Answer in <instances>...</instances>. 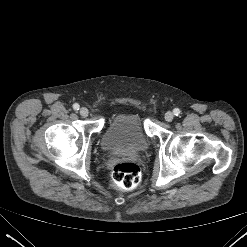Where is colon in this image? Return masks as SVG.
I'll return each mask as SVG.
<instances>
[{"label":"colon","mask_w":247,"mask_h":247,"mask_svg":"<svg viewBox=\"0 0 247 247\" xmlns=\"http://www.w3.org/2000/svg\"><path fill=\"white\" fill-rule=\"evenodd\" d=\"M141 179L140 168L133 162H121L112 170L114 184L124 190L135 188Z\"/></svg>","instance_id":"1"}]
</instances>
